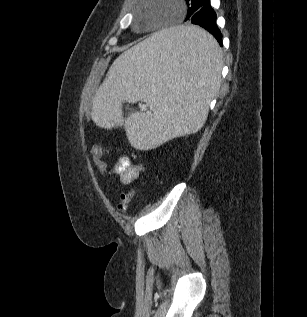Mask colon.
Listing matches in <instances>:
<instances>
[{
	"label": "colon",
	"instance_id": "5ec220e1",
	"mask_svg": "<svg viewBox=\"0 0 307 317\" xmlns=\"http://www.w3.org/2000/svg\"><path fill=\"white\" fill-rule=\"evenodd\" d=\"M106 155V149L101 146H94L92 148V158L96 164V167L100 171V173H104L106 170V164L104 162V157ZM135 195L134 190L127 191L123 193L120 197V201L117 205V209L119 212H126L129 204L131 203L133 197Z\"/></svg>",
	"mask_w": 307,
	"mask_h": 317
}]
</instances>
